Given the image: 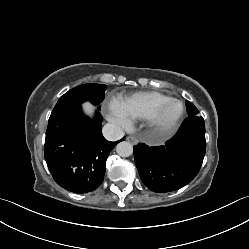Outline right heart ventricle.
Here are the masks:
<instances>
[{
    "label": "right heart ventricle",
    "mask_w": 249,
    "mask_h": 249,
    "mask_svg": "<svg viewBox=\"0 0 249 249\" xmlns=\"http://www.w3.org/2000/svg\"><path fill=\"white\" fill-rule=\"evenodd\" d=\"M168 99H171V97L161 92L142 91L120 98L115 103L132 119H146L158 105Z\"/></svg>",
    "instance_id": "obj_1"
}]
</instances>
